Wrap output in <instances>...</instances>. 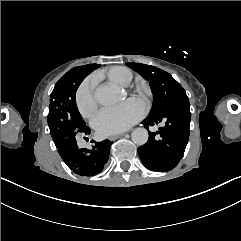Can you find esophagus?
Masks as SVG:
<instances>
[{"label":"esophagus","mask_w":241,"mask_h":241,"mask_svg":"<svg viewBox=\"0 0 241 241\" xmlns=\"http://www.w3.org/2000/svg\"><path fill=\"white\" fill-rule=\"evenodd\" d=\"M122 136H124V133H120V134H116V135L110 136V137H108V139L110 141H114V140H116V139H118V138H120Z\"/></svg>","instance_id":"1"}]
</instances>
